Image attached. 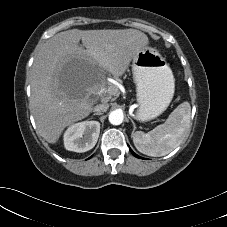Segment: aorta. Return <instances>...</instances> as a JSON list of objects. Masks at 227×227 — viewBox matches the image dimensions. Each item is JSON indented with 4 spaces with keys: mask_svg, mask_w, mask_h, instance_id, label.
<instances>
[{
    "mask_svg": "<svg viewBox=\"0 0 227 227\" xmlns=\"http://www.w3.org/2000/svg\"><path fill=\"white\" fill-rule=\"evenodd\" d=\"M124 115L120 110H114L109 114V122L112 125H120L123 122Z\"/></svg>",
    "mask_w": 227,
    "mask_h": 227,
    "instance_id": "obj_1",
    "label": "aorta"
}]
</instances>
